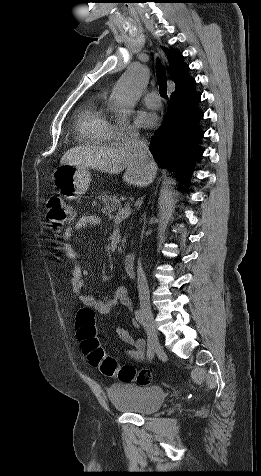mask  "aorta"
<instances>
[{
  "label": "aorta",
  "instance_id": "aorta-1",
  "mask_svg": "<svg viewBox=\"0 0 261 476\" xmlns=\"http://www.w3.org/2000/svg\"><path fill=\"white\" fill-rule=\"evenodd\" d=\"M144 79L142 68H130L116 84L112 93V109L117 119L124 120L133 113Z\"/></svg>",
  "mask_w": 261,
  "mask_h": 476
}]
</instances>
